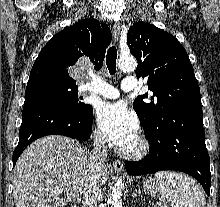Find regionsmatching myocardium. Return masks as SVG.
<instances>
[{
    "label": "myocardium",
    "mask_w": 220,
    "mask_h": 207,
    "mask_svg": "<svg viewBox=\"0 0 220 207\" xmlns=\"http://www.w3.org/2000/svg\"><path fill=\"white\" fill-rule=\"evenodd\" d=\"M137 147L133 150L119 149V154L127 159L138 160L145 157L150 150L149 140L142 134L137 136Z\"/></svg>",
    "instance_id": "1"
}]
</instances>
